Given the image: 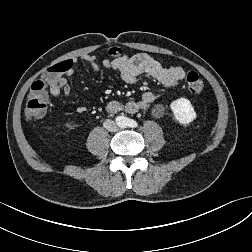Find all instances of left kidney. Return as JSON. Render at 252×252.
<instances>
[{
  "mask_svg": "<svg viewBox=\"0 0 252 252\" xmlns=\"http://www.w3.org/2000/svg\"><path fill=\"white\" fill-rule=\"evenodd\" d=\"M170 108L180 124H189L196 119V112L188 99L179 98L170 104Z\"/></svg>",
  "mask_w": 252,
  "mask_h": 252,
  "instance_id": "1",
  "label": "left kidney"
}]
</instances>
